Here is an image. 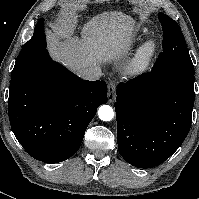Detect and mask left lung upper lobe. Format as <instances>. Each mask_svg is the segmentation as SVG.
<instances>
[{
    "instance_id": "left-lung-upper-lobe-1",
    "label": "left lung upper lobe",
    "mask_w": 199,
    "mask_h": 199,
    "mask_svg": "<svg viewBox=\"0 0 199 199\" xmlns=\"http://www.w3.org/2000/svg\"><path fill=\"white\" fill-rule=\"evenodd\" d=\"M163 30V52L160 53L153 70L178 69L194 73L181 28L176 21L166 14H158Z\"/></svg>"
}]
</instances>
